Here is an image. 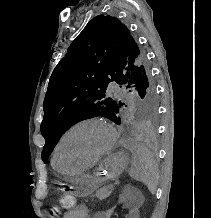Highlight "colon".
I'll list each match as a JSON object with an SVG mask.
<instances>
[{"label": "colon", "instance_id": "5ec220e1", "mask_svg": "<svg viewBox=\"0 0 211 218\" xmlns=\"http://www.w3.org/2000/svg\"><path fill=\"white\" fill-rule=\"evenodd\" d=\"M59 204L64 209H73L76 207V200L70 192H64L59 198Z\"/></svg>", "mask_w": 211, "mask_h": 218}]
</instances>
